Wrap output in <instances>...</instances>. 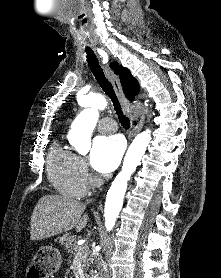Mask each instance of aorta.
Masks as SVG:
<instances>
[{"label": "aorta", "mask_w": 221, "mask_h": 278, "mask_svg": "<svg viewBox=\"0 0 221 278\" xmlns=\"http://www.w3.org/2000/svg\"><path fill=\"white\" fill-rule=\"evenodd\" d=\"M90 108L84 109L74 120L69 132V141L79 153H86L91 147V134L98 121V110L104 109L106 100L100 95L90 96ZM151 140V131L138 134L131 143L124 158L121 172L116 176L107 192L104 217L107 231H111L122 209L128 181L139 165Z\"/></svg>", "instance_id": "762f6f07"}]
</instances>
